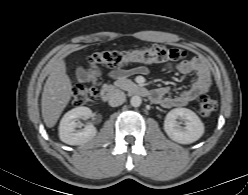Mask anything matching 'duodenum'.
<instances>
[{
  "instance_id": "410a0bca",
  "label": "duodenum",
  "mask_w": 248,
  "mask_h": 195,
  "mask_svg": "<svg viewBox=\"0 0 248 195\" xmlns=\"http://www.w3.org/2000/svg\"><path fill=\"white\" fill-rule=\"evenodd\" d=\"M120 89H126L136 96L149 95V90L145 86L133 81L119 78L114 83L104 86L100 92V97L105 102L110 101Z\"/></svg>"
}]
</instances>
